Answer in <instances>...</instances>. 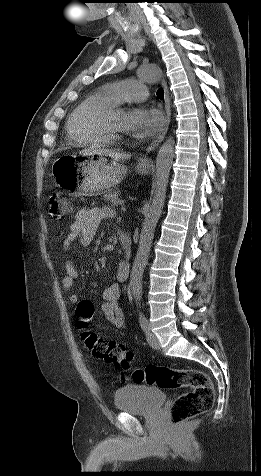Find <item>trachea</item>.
Here are the masks:
<instances>
[{"label":"trachea","mask_w":261,"mask_h":476,"mask_svg":"<svg viewBox=\"0 0 261 476\" xmlns=\"http://www.w3.org/2000/svg\"><path fill=\"white\" fill-rule=\"evenodd\" d=\"M157 97H158L159 99L163 100V98H164V91H163V89H158V90H157Z\"/></svg>","instance_id":"obj_1"}]
</instances>
